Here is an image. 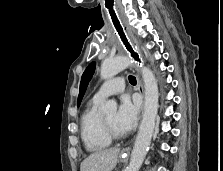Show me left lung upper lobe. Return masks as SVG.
Returning <instances> with one entry per match:
<instances>
[{
	"label": "left lung upper lobe",
	"mask_w": 223,
	"mask_h": 171,
	"mask_svg": "<svg viewBox=\"0 0 223 171\" xmlns=\"http://www.w3.org/2000/svg\"><path fill=\"white\" fill-rule=\"evenodd\" d=\"M95 67H96L95 62L90 63L82 75L81 82H80L79 96H78V100H77L78 107H79L81 100L84 96V93L86 91L88 83L94 74Z\"/></svg>",
	"instance_id": "obj_1"
}]
</instances>
